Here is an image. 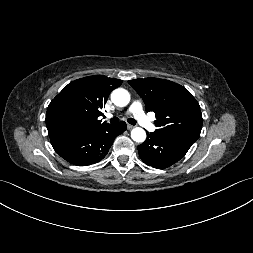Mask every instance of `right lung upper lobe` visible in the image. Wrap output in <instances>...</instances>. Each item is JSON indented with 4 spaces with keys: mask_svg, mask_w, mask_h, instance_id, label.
Returning a JSON list of instances; mask_svg holds the SVG:
<instances>
[{
    "mask_svg": "<svg viewBox=\"0 0 253 253\" xmlns=\"http://www.w3.org/2000/svg\"><path fill=\"white\" fill-rule=\"evenodd\" d=\"M122 80L95 75L70 82L49 104L46 126L52 144L109 126L98 120L109 94Z\"/></svg>",
    "mask_w": 253,
    "mask_h": 253,
    "instance_id": "1",
    "label": "right lung upper lobe"
}]
</instances>
